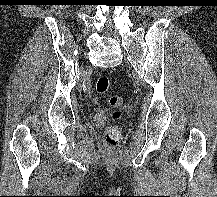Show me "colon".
<instances>
[{
  "mask_svg": "<svg viewBox=\"0 0 217 197\" xmlns=\"http://www.w3.org/2000/svg\"><path fill=\"white\" fill-rule=\"evenodd\" d=\"M95 88L98 93L104 94L109 91L110 80L107 76H100L97 78L95 83ZM110 104L113 107H120L123 103V100L118 95H113L109 99ZM122 118V112L120 110H115L112 113V119L118 121ZM120 139V132L117 127L110 126L106 129L103 141L106 147L114 149L118 146Z\"/></svg>",
  "mask_w": 217,
  "mask_h": 197,
  "instance_id": "5ec220e1",
  "label": "colon"
}]
</instances>
